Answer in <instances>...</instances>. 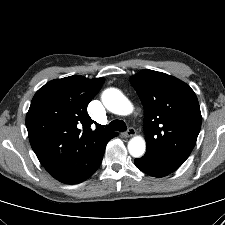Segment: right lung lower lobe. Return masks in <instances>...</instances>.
<instances>
[{
  "mask_svg": "<svg viewBox=\"0 0 225 225\" xmlns=\"http://www.w3.org/2000/svg\"><path fill=\"white\" fill-rule=\"evenodd\" d=\"M117 135L118 134L115 133V135L112 136L110 139H112L113 137ZM109 140L105 141V143L98 149L97 155L95 156V159L93 160L91 164H88L85 167L82 166V167L73 168L69 172H67L65 175L55 179L65 184H77V183L85 181L100 166V163L104 155L105 147L107 143L109 142Z\"/></svg>",
  "mask_w": 225,
  "mask_h": 225,
  "instance_id": "1",
  "label": "right lung lower lobe"
}]
</instances>
